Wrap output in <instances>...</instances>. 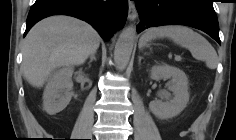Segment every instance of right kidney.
I'll list each match as a JSON object with an SVG mask.
<instances>
[{"label": "right kidney", "mask_w": 236, "mask_h": 140, "mask_svg": "<svg viewBox=\"0 0 236 140\" xmlns=\"http://www.w3.org/2000/svg\"><path fill=\"white\" fill-rule=\"evenodd\" d=\"M73 68L70 66L57 70L49 79L43 94V109L49 115L62 111L72 98L71 90Z\"/></svg>", "instance_id": "obj_1"}]
</instances>
